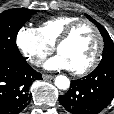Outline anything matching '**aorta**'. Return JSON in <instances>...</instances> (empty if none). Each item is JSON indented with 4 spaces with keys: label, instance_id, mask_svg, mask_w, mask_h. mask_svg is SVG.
Here are the masks:
<instances>
[{
    "label": "aorta",
    "instance_id": "1",
    "mask_svg": "<svg viewBox=\"0 0 114 114\" xmlns=\"http://www.w3.org/2000/svg\"><path fill=\"white\" fill-rule=\"evenodd\" d=\"M55 86L58 89L66 90L70 86V81H69V79L66 76H64V75H58L55 78Z\"/></svg>",
    "mask_w": 114,
    "mask_h": 114
}]
</instances>
